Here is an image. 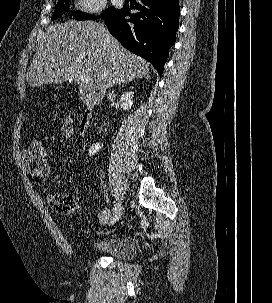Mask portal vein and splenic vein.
Returning a JSON list of instances; mask_svg holds the SVG:
<instances>
[{
    "label": "portal vein and splenic vein",
    "mask_w": 272,
    "mask_h": 303,
    "mask_svg": "<svg viewBox=\"0 0 272 303\" xmlns=\"http://www.w3.org/2000/svg\"><path fill=\"white\" fill-rule=\"evenodd\" d=\"M79 81H80L81 83L88 82V81H89V78H88L86 75H80Z\"/></svg>",
    "instance_id": "18ae733b"
}]
</instances>
